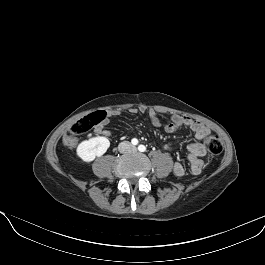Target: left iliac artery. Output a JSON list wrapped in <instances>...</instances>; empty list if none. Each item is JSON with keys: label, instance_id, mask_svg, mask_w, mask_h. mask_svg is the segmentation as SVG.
Segmentation results:
<instances>
[{"label": "left iliac artery", "instance_id": "1", "mask_svg": "<svg viewBox=\"0 0 265 265\" xmlns=\"http://www.w3.org/2000/svg\"><path fill=\"white\" fill-rule=\"evenodd\" d=\"M138 150L141 152H144V151H146V147L144 145H139Z\"/></svg>", "mask_w": 265, "mask_h": 265}]
</instances>
